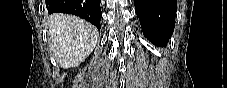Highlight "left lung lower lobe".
<instances>
[{
  "instance_id": "0a47b994",
  "label": "left lung lower lobe",
  "mask_w": 227,
  "mask_h": 88,
  "mask_svg": "<svg viewBox=\"0 0 227 88\" xmlns=\"http://www.w3.org/2000/svg\"><path fill=\"white\" fill-rule=\"evenodd\" d=\"M144 36L154 45L166 46L175 26L176 0H134Z\"/></svg>"
}]
</instances>
